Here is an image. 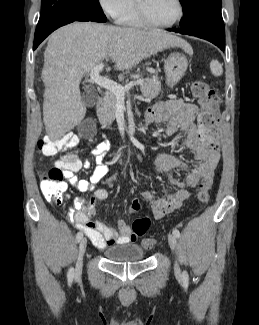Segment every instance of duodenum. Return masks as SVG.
<instances>
[{"instance_id":"duodenum-1","label":"duodenum","mask_w":259,"mask_h":325,"mask_svg":"<svg viewBox=\"0 0 259 325\" xmlns=\"http://www.w3.org/2000/svg\"><path fill=\"white\" fill-rule=\"evenodd\" d=\"M102 104H103L102 99H98V101L96 102V105L95 106H96V108H101ZM150 123H151L150 119L145 116V119H144V127H146ZM127 148H128L127 145H120L119 146V149L122 150V151L127 150Z\"/></svg>"}]
</instances>
